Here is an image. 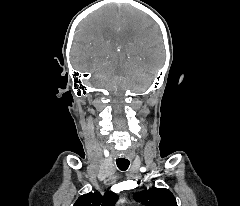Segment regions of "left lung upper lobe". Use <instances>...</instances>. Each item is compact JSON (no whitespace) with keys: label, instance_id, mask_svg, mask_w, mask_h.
<instances>
[{"label":"left lung upper lobe","instance_id":"left-lung-upper-lobe-1","mask_svg":"<svg viewBox=\"0 0 240 206\" xmlns=\"http://www.w3.org/2000/svg\"><path fill=\"white\" fill-rule=\"evenodd\" d=\"M134 198L145 206H177L173 194L165 188H151L141 193H136Z\"/></svg>","mask_w":240,"mask_h":206}]
</instances>
